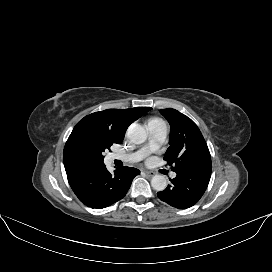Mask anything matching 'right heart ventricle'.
Returning a JSON list of instances; mask_svg holds the SVG:
<instances>
[{"label": "right heart ventricle", "instance_id": "e07e8e85", "mask_svg": "<svg viewBox=\"0 0 272 272\" xmlns=\"http://www.w3.org/2000/svg\"><path fill=\"white\" fill-rule=\"evenodd\" d=\"M152 120H158L157 118H155V119H151L150 121H152Z\"/></svg>", "mask_w": 272, "mask_h": 272}]
</instances>
